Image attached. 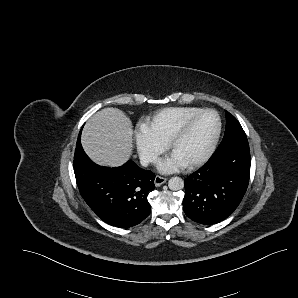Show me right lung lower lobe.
I'll use <instances>...</instances> for the list:
<instances>
[{
  "label": "right lung lower lobe",
  "mask_w": 298,
  "mask_h": 298,
  "mask_svg": "<svg viewBox=\"0 0 298 298\" xmlns=\"http://www.w3.org/2000/svg\"><path fill=\"white\" fill-rule=\"evenodd\" d=\"M74 172L81 196L104 222L128 228L150 214L148 195L155 189V174L133 161L114 168L94 164L81 146L80 134Z\"/></svg>",
  "instance_id": "right-lung-lower-lobe-1"
}]
</instances>
